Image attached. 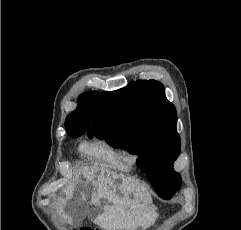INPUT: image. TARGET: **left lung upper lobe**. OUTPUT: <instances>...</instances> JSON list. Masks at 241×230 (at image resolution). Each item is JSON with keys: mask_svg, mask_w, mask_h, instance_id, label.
<instances>
[{"mask_svg": "<svg viewBox=\"0 0 241 230\" xmlns=\"http://www.w3.org/2000/svg\"><path fill=\"white\" fill-rule=\"evenodd\" d=\"M177 114L156 80H139L98 98L88 137L104 139L115 148L137 152V165L160 197L180 187L173 163L180 153Z\"/></svg>", "mask_w": 241, "mask_h": 230, "instance_id": "obj_1", "label": "left lung upper lobe"}]
</instances>
